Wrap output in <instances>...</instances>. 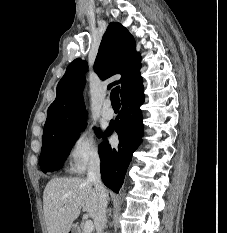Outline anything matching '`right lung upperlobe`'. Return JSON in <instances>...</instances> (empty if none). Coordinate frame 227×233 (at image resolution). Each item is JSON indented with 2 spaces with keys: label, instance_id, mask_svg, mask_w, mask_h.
<instances>
[{
  "label": "right lung upper lobe",
  "instance_id": "right-lung-upper-lobe-1",
  "mask_svg": "<svg viewBox=\"0 0 227 233\" xmlns=\"http://www.w3.org/2000/svg\"><path fill=\"white\" fill-rule=\"evenodd\" d=\"M140 68V54L136 52L134 38L120 23H110L95 60V72L102 80L121 74V79L111 83L108 89L120 83L122 99L143 86ZM86 71L87 62L80 58L67 67L58 83L56 98L48 109L42 142L59 137L85 122L82 93Z\"/></svg>",
  "mask_w": 227,
  "mask_h": 233
}]
</instances>
